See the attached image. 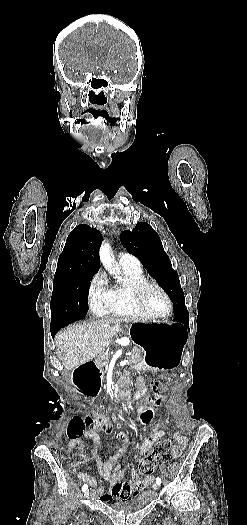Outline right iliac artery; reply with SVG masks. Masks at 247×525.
Returning <instances> with one entry per match:
<instances>
[{
  "label": "right iliac artery",
  "instance_id": "right-iliac-artery-1",
  "mask_svg": "<svg viewBox=\"0 0 247 525\" xmlns=\"http://www.w3.org/2000/svg\"><path fill=\"white\" fill-rule=\"evenodd\" d=\"M87 489H88V485L84 484L83 487H82V491H86Z\"/></svg>",
  "mask_w": 247,
  "mask_h": 525
}]
</instances>
